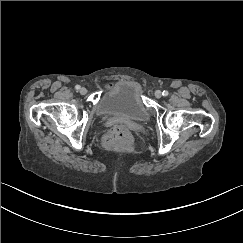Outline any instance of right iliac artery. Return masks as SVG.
<instances>
[{
  "mask_svg": "<svg viewBox=\"0 0 243 243\" xmlns=\"http://www.w3.org/2000/svg\"><path fill=\"white\" fill-rule=\"evenodd\" d=\"M80 88H81L80 85H76V86H75V89H76V90H79Z\"/></svg>",
  "mask_w": 243,
  "mask_h": 243,
  "instance_id": "1",
  "label": "right iliac artery"
}]
</instances>
